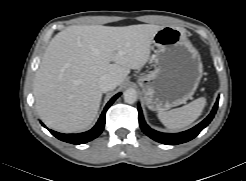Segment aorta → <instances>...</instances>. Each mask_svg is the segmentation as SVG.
<instances>
[{"mask_svg": "<svg viewBox=\"0 0 246 181\" xmlns=\"http://www.w3.org/2000/svg\"><path fill=\"white\" fill-rule=\"evenodd\" d=\"M123 96L126 103L133 104L137 101L138 93L135 89L129 88L125 90Z\"/></svg>", "mask_w": 246, "mask_h": 181, "instance_id": "762f6f07", "label": "aorta"}]
</instances>
